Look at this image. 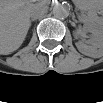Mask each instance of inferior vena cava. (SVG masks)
Listing matches in <instances>:
<instances>
[{
	"label": "inferior vena cava",
	"instance_id": "602c4592",
	"mask_svg": "<svg viewBox=\"0 0 103 103\" xmlns=\"http://www.w3.org/2000/svg\"><path fill=\"white\" fill-rule=\"evenodd\" d=\"M46 12V6L43 5H34L30 12V17L32 19H38Z\"/></svg>",
	"mask_w": 103,
	"mask_h": 103
}]
</instances>
